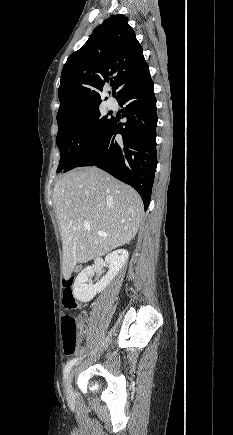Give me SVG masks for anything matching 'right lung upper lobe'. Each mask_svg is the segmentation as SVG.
I'll list each match as a JSON object with an SVG mask.
<instances>
[{
	"label": "right lung upper lobe",
	"mask_w": 233,
	"mask_h": 435,
	"mask_svg": "<svg viewBox=\"0 0 233 435\" xmlns=\"http://www.w3.org/2000/svg\"><path fill=\"white\" fill-rule=\"evenodd\" d=\"M148 73L142 47L128 18L111 15L68 57L61 73L57 119L99 107L100 92L110 77L115 83L112 93L118 99L128 85Z\"/></svg>",
	"instance_id": "1"
}]
</instances>
